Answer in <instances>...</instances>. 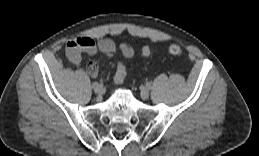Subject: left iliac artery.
<instances>
[{"instance_id": "left-iliac-artery-1", "label": "left iliac artery", "mask_w": 259, "mask_h": 156, "mask_svg": "<svg viewBox=\"0 0 259 156\" xmlns=\"http://www.w3.org/2000/svg\"><path fill=\"white\" fill-rule=\"evenodd\" d=\"M146 86H147L148 89H150L151 84H150V83H147Z\"/></svg>"}]
</instances>
